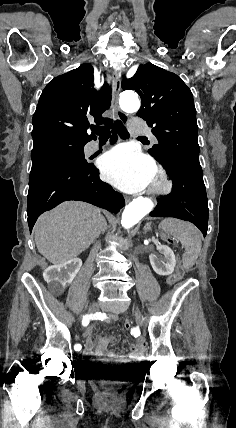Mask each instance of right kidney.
<instances>
[{"mask_svg": "<svg viewBox=\"0 0 236 428\" xmlns=\"http://www.w3.org/2000/svg\"><path fill=\"white\" fill-rule=\"evenodd\" d=\"M81 266L82 260L75 256V258L64 262V264H55V266L46 268L43 272V278L47 282V291L55 292L56 300H63L65 296L63 290H65L67 284L73 282Z\"/></svg>", "mask_w": 236, "mask_h": 428, "instance_id": "obj_1", "label": "right kidney"}]
</instances>
